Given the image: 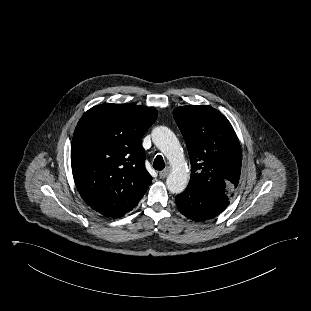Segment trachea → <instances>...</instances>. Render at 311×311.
I'll return each mask as SVG.
<instances>
[{
  "mask_svg": "<svg viewBox=\"0 0 311 311\" xmlns=\"http://www.w3.org/2000/svg\"><path fill=\"white\" fill-rule=\"evenodd\" d=\"M154 169L161 171L165 168V162L161 155H157L153 162Z\"/></svg>",
  "mask_w": 311,
  "mask_h": 311,
  "instance_id": "3493384b",
  "label": "trachea"
}]
</instances>
